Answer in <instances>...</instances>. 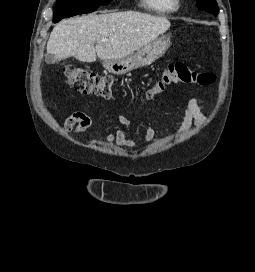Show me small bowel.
I'll return each mask as SVG.
<instances>
[{"label": "small bowel", "instance_id": "small-bowel-1", "mask_svg": "<svg viewBox=\"0 0 255 272\" xmlns=\"http://www.w3.org/2000/svg\"><path fill=\"white\" fill-rule=\"evenodd\" d=\"M116 121L120 125L114 134H108L106 139L110 144H117L119 146L134 148L136 141L132 137L126 135L127 130L131 126L130 120L124 115H118ZM204 121V115L200 111L198 101L195 98H190L183 105V122L180 130L185 131L192 125H201ZM91 125V118L84 112H75L69 116L65 122L64 127L66 131L73 133H82ZM156 131L152 124H149L145 132L141 136L143 141H155Z\"/></svg>", "mask_w": 255, "mask_h": 272}]
</instances>
